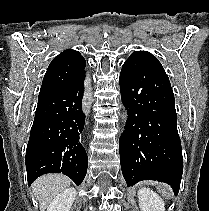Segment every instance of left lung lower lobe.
Listing matches in <instances>:
<instances>
[{"instance_id": "obj_1", "label": "left lung lower lobe", "mask_w": 209, "mask_h": 211, "mask_svg": "<svg viewBox=\"0 0 209 211\" xmlns=\"http://www.w3.org/2000/svg\"><path fill=\"white\" fill-rule=\"evenodd\" d=\"M120 91L129 116L119 139L127 186L156 180L171 185L177 195L183 157L168 76L141 55L132 54L122 66Z\"/></svg>"}]
</instances>
